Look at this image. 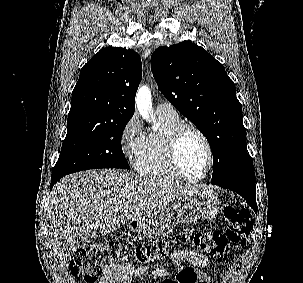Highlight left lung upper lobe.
Masks as SVG:
<instances>
[{"mask_svg": "<svg viewBox=\"0 0 303 283\" xmlns=\"http://www.w3.org/2000/svg\"><path fill=\"white\" fill-rule=\"evenodd\" d=\"M151 69L166 99L207 138L213 153L211 183L255 181L242 105L222 64L202 47L184 41L156 49Z\"/></svg>", "mask_w": 303, "mask_h": 283, "instance_id": "left-lung-upper-lobe-1", "label": "left lung upper lobe"}]
</instances>
